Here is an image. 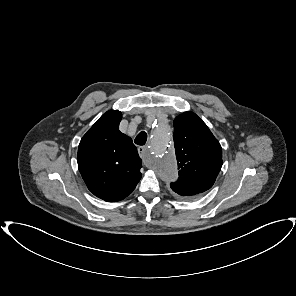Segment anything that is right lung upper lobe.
I'll return each instance as SVG.
<instances>
[{
  "label": "right lung upper lobe",
  "instance_id": "obj_1",
  "mask_svg": "<svg viewBox=\"0 0 296 296\" xmlns=\"http://www.w3.org/2000/svg\"><path fill=\"white\" fill-rule=\"evenodd\" d=\"M122 115L110 110L83 136L78 168L88 189L97 197L116 202L127 197L141 178V159L132 139L119 131Z\"/></svg>",
  "mask_w": 296,
  "mask_h": 296
}]
</instances>
